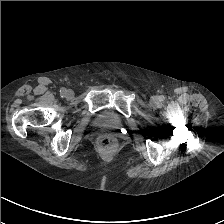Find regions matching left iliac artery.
I'll use <instances>...</instances> for the list:
<instances>
[{
    "instance_id": "1",
    "label": "left iliac artery",
    "mask_w": 224,
    "mask_h": 224,
    "mask_svg": "<svg viewBox=\"0 0 224 224\" xmlns=\"http://www.w3.org/2000/svg\"><path fill=\"white\" fill-rule=\"evenodd\" d=\"M164 99H165V97L163 96V95H161L160 97H159V101H164Z\"/></svg>"
}]
</instances>
